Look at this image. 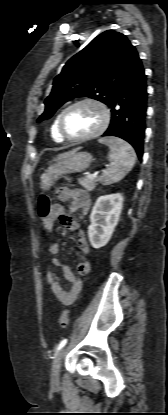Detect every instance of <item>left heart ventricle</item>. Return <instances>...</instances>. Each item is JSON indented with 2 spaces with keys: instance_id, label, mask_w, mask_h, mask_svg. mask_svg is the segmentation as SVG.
<instances>
[{
  "instance_id": "left-heart-ventricle-1",
  "label": "left heart ventricle",
  "mask_w": 168,
  "mask_h": 415,
  "mask_svg": "<svg viewBox=\"0 0 168 415\" xmlns=\"http://www.w3.org/2000/svg\"><path fill=\"white\" fill-rule=\"evenodd\" d=\"M102 114L92 104H82L70 109L64 118V128L68 135L81 137L94 132L100 125Z\"/></svg>"
}]
</instances>
